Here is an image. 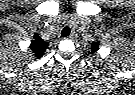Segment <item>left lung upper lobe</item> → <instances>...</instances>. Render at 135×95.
<instances>
[{
  "mask_svg": "<svg viewBox=\"0 0 135 95\" xmlns=\"http://www.w3.org/2000/svg\"><path fill=\"white\" fill-rule=\"evenodd\" d=\"M99 44L100 43L98 41H95V42L91 43L90 49H91L92 53L96 52L99 49Z\"/></svg>",
  "mask_w": 135,
  "mask_h": 95,
  "instance_id": "obj_1",
  "label": "left lung upper lobe"
}]
</instances>
